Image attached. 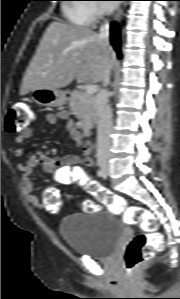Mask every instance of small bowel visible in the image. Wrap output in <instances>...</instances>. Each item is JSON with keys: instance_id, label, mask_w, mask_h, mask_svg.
<instances>
[{"instance_id": "small-bowel-1", "label": "small bowel", "mask_w": 180, "mask_h": 299, "mask_svg": "<svg viewBox=\"0 0 180 299\" xmlns=\"http://www.w3.org/2000/svg\"><path fill=\"white\" fill-rule=\"evenodd\" d=\"M46 120L49 124H56L58 120L66 121V129L69 138L75 143L76 147L83 152V158L80 159L75 155L65 156L62 158H53L45 155L42 152L32 153L26 162H18L17 168L22 175L21 184L28 201L34 207H40L39 198L33 194V183L31 180L32 171L35 167H41L46 172L57 171V180L60 183H70V180L77 175L82 166H90L92 160L89 157L91 152V144L84 142L82 134L77 129L74 121L70 119L69 114L65 110L51 112L46 115ZM33 131L30 128H25L21 134L16 136L15 143L17 147L14 149V155L21 157L24 154L22 145L31 138Z\"/></svg>"}]
</instances>
